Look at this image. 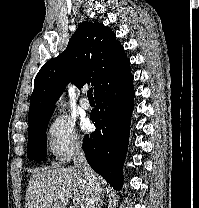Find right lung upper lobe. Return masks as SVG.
I'll list each match as a JSON object with an SVG mask.
<instances>
[{
    "label": "right lung upper lobe",
    "mask_w": 199,
    "mask_h": 208,
    "mask_svg": "<svg viewBox=\"0 0 199 208\" xmlns=\"http://www.w3.org/2000/svg\"><path fill=\"white\" fill-rule=\"evenodd\" d=\"M130 74V60L114 32L100 23H81L66 50L46 62L35 77L28 131L51 118L55 103L69 82L78 88L91 83L96 95Z\"/></svg>",
    "instance_id": "obj_1"
}]
</instances>
